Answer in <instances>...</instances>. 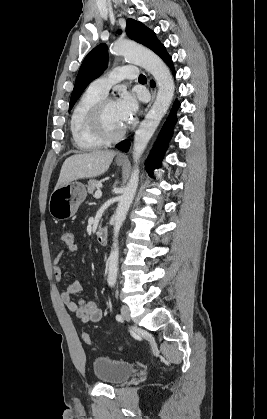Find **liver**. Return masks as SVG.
I'll use <instances>...</instances> for the list:
<instances>
[{"mask_svg":"<svg viewBox=\"0 0 267 419\" xmlns=\"http://www.w3.org/2000/svg\"><path fill=\"white\" fill-rule=\"evenodd\" d=\"M115 155V151L93 150L68 157L62 165L55 188L77 179L96 177L105 173Z\"/></svg>","mask_w":267,"mask_h":419,"instance_id":"obj_1","label":"liver"}]
</instances>
